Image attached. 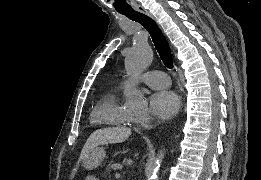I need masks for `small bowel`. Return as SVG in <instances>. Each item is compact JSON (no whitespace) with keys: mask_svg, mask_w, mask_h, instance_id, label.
I'll list each match as a JSON object with an SVG mask.
<instances>
[{"mask_svg":"<svg viewBox=\"0 0 261 180\" xmlns=\"http://www.w3.org/2000/svg\"><path fill=\"white\" fill-rule=\"evenodd\" d=\"M88 179L93 180L94 177L93 176H88Z\"/></svg>","mask_w":261,"mask_h":180,"instance_id":"1","label":"small bowel"}]
</instances>
